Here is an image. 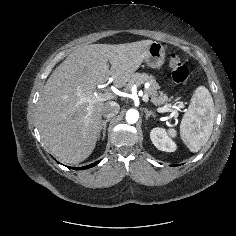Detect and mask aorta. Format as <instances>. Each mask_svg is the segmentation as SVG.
Returning a JSON list of instances; mask_svg holds the SVG:
<instances>
[{"label": "aorta", "instance_id": "obj_1", "mask_svg": "<svg viewBox=\"0 0 236 236\" xmlns=\"http://www.w3.org/2000/svg\"><path fill=\"white\" fill-rule=\"evenodd\" d=\"M126 121L130 124H134L138 121V118H139V113L137 110L135 109H129L127 112H126Z\"/></svg>", "mask_w": 236, "mask_h": 236}]
</instances>
